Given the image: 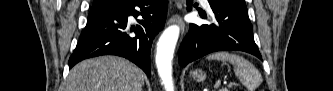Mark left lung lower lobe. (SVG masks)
<instances>
[{
    "instance_id": "1",
    "label": "left lung lower lobe",
    "mask_w": 333,
    "mask_h": 91,
    "mask_svg": "<svg viewBox=\"0 0 333 91\" xmlns=\"http://www.w3.org/2000/svg\"><path fill=\"white\" fill-rule=\"evenodd\" d=\"M215 14L216 24H190L179 53L182 67L216 51H244L262 59L254 42L253 29L249 21L244 0H208ZM191 10L192 0H188Z\"/></svg>"
}]
</instances>
